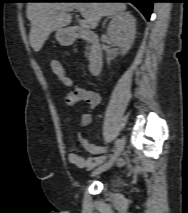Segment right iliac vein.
<instances>
[{"label":"right iliac vein","instance_id":"63e3f726","mask_svg":"<svg viewBox=\"0 0 188 213\" xmlns=\"http://www.w3.org/2000/svg\"><path fill=\"white\" fill-rule=\"evenodd\" d=\"M125 146V140L124 138L120 139L119 144L117 145L114 155L112 156V158L105 164L100 165L97 169H95L91 176H96L106 170H108L109 168L112 167V165L115 163V161L118 159V157L120 156V154L122 153L123 149Z\"/></svg>","mask_w":188,"mask_h":213}]
</instances>
